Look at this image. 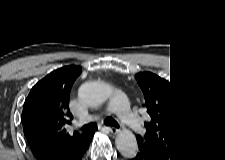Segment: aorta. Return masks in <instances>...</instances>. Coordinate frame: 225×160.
Masks as SVG:
<instances>
[{
  "label": "aorta",
  "mask_w": 225,
  "mask_h": 160,
  "mask_svg": "<svg viewBox=\"0 0 225 160\" xmlns=\"http://www.w3.org/2000/svg\"><path fill=\"white\" fill-rule=\"evenodd\" d=\"M113 92L114 89L111 85L101 81L84 83L79 89L80 96L91 106H97L108 99H112ZM115 144L117 149L125 156L133 155L138 149L136 137L128 129L118 132Z\"/></svg>",
  "instance_id": "aorta-1"
}]
</instances>
